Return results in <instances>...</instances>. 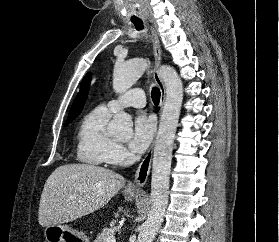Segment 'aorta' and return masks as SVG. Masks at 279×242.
Listing matches in <instances>:
<instances>
[{
	"label": "aorta",
	"mask_w": 279,
	"mask_h": 242,
	"mask_svg": "<svg viewBox=\"0 0 279 242\" xmlns=\"http://www.w3.org/2000/svg\"><path fill=\"white\" fill-rule=\"evenodd\" d=\"M148 64L149 61L143 58L117 64L113 72L114 90L123 93L130 89L143 75ZM160 76L165 84L166 99L154 146L151 207L137 242H152L164 219L168 204L173 144L183 101V84L176 70L170 66H162ZM132 127L131 116L120 112L113 117L107 130L110 135L127 140L132 135Z\"/></svg>",
	"instance_id": "aorta-1"
}]
</instances>
